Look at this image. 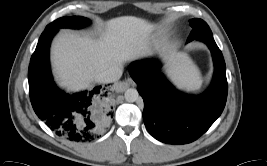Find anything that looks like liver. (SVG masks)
Segmentation results:
<instances>
[{
  "mask_svg": "<svg viewBox=\"0 0 267 166\" xmlns=\"http://www.w3.org/2000/svg\"><path fill=\"white\" fill-rule=\"evenodd\" d=\"M154 26L144 19L122 16L105 22L99 39L65 32L52 46V63L60 85L79 90L88 81L111 67L123 68L125 62L152 55L165 54L163 44L151 40ZM153 46V48H152ZM169 74L183 87H199L200 74L183 54L169 52L166 56Z\"/></svg>",
  "mask_w": 267,
  "mask_h": 166,
  "instance_id": "obj_1",
  "label": "liver"
}]
</instances>
